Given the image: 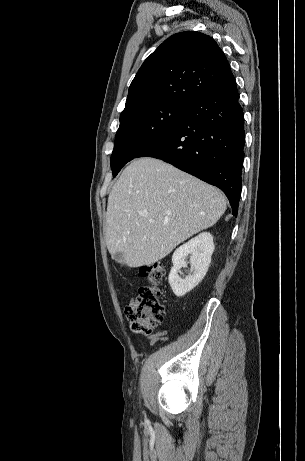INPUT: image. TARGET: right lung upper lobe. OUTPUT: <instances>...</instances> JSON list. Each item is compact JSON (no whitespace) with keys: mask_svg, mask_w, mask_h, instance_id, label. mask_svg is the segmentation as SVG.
<instances>
[{"mask_svg":"<svg viewBox=\"0 0 305 461\" xmlns=\"http://www.w3.org/2000/svg\"><path fill=\"white\" fill-rule=\"evenodd\" d=\"M231 78L228 61L214 39L196 31L177 33L144 61L120 118L154 104H189Z\"/></svg>","mask_w":305,"mask_h":461,"instance_id":"obj_1","label":"right lung upper lobe"}]
</instances>
